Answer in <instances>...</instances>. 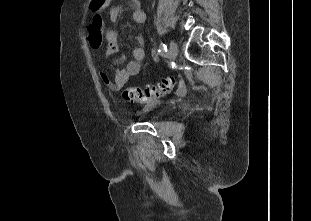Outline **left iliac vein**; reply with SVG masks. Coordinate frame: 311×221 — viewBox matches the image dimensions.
<instances>
[{"instance_id":"obj_1","label":"left iliac vein","mask_w":311,"mask_h":221,"mask_svg":"<svg viewBox=\"0 0 311 221\" xmlns=\"http://www.w3.org/2000/svg\"><path fill=\"white\" fill-rule=\"evenodd\" d=\"M177 55H178V46L172 40V41H170V44H169V59H170V61L175 60Z\"/></svg>"}]
</instances>
